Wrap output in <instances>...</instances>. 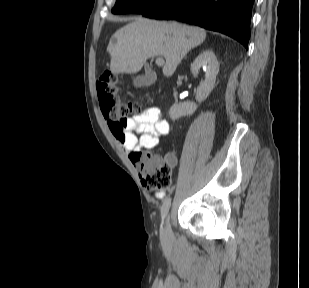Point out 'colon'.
<instances>
[{
	"label": "colon",
	"mask_w": 309,
	"mask_h": 288,
	"mask_svg": "<svg viewBox=\"0 0 309 288\" xmlns=\"http://www.w3.org/2000/svg\"><path fill=\"white\" fill-rule=\"evenodd\" d=\"M119 79L110 70H104L96 81L101 109L108 122H124L132 114H141L143 106L136 101L120 102ZM140 172L143 186L151 193H161L171 188L172 162L157 151L136 152L131 156Z\"/></svg>",
	"instance_id": "obj_1"
}]
</instances>
